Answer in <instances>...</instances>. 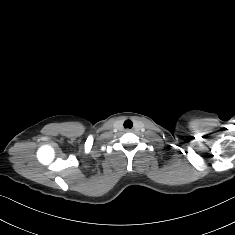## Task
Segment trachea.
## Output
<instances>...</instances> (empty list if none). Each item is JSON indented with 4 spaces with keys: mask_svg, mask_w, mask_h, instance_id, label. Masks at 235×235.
<instances>
[{
    "mask_svg": "<svg viewBox=\"0 0 235 235\" xmlns=\"http://www.w3.org/2000/svg\"><path fill=\"white\" fill-rule=\"evenodd\" d=\"M132 126H133V123H132L131 120H126V121L124 122V127H125V128H132Z\"/></svg>",
    "mask_w": 235,
    "mask_h": 235,
    "instance_id": "trachea-1",
    "label": "trachea"
}]
</instances>
